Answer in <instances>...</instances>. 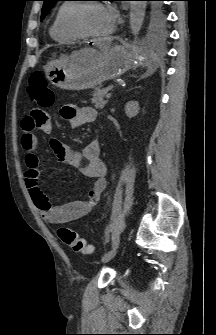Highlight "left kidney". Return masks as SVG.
<instances>
[{"instance_id": "5707ae66", "label": "left kidney", "mask_w": 216, "mask_h": 335, "mask_svg": "<svg viewBox=\"0 0 216 335\" xmlns=\"http://www.w3.org/2000/svg\"><path fill=\"white\" fill-rule=\"evenodd\" d=\"M139 103L137 101H130L125 105V113L127 117H135L139 113Z\"/></svg>"}]
</instances>
